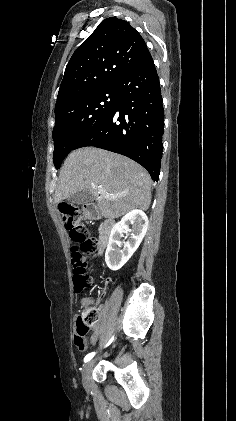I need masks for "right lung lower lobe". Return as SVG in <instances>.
I'll return each mask as SVG.
<instances>
[{"instance_id":"obj_1","label":"right lung lower lobe","mask_w":236,"mask_h":421,"mask_svg":"<svg viewBox=\"0 0 236 421\" xmlns=\"http://www.w3.org/2000/svg\"><path fill=\"white\" fill-rule=\"evenodd\" d=\"M116 106L74 149L95 146L142 165L158 181L163 152L164 109L152 57L116 84Z\"/></svg>"}]
</instances>
